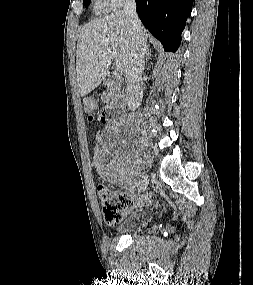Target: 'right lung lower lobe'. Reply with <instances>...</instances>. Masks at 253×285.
<instances>
[{"mask_svg": "<svg viewBox=\"0 0 253 285\" xmlns=\"http://www.w3.org/2000/svg\"><path fill=\"white\" fill-rule=\"evenodd\" d=\"M193 0H136L137 13L144 26L163 45L175 52L192 10Z\"/></svg>", "mask_w": 253, "mask_h": 285, "instance_id": "right-lung-lower-lobe-1", "label": "right lung lower lobe"}]
</instances>
